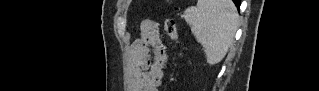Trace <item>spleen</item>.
<instances>
[{
    "mask_svg": "<svg viewBox=\"0 0 319 91\" xmlns=\"http://www.w3.org/2000/svg\"><path fill=\"white\" fill-rule=\"evenodd\" d=\"M184 19L202 45L207 63L215 65L227 54L238 27V13L231 0H198L184 11Z\"/></svg>",
    "mask_w": 319,
    "mask_h": 91,
    "instance_id": "spleen-1",
    "label": "spleen"
}]
</instances>
